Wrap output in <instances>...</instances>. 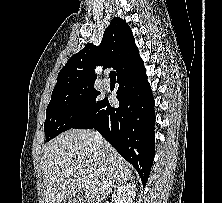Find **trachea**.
Instances as JSON below:
<instances>
[{"label":"trachea","instance_id":"3493384b","mask_svg":"<svg viewBox=\"0 0 222 203\" xmlns=\"http://www.w3.org/2000/svg\"><path fill=\"white\" fill-rule=\"evenodd\" d=\"M109 78H110V80H115L116 79V72L111 71L110 74H109Z\"/></svg>","mask_w":222,"mask_h":203}]
</instances>
